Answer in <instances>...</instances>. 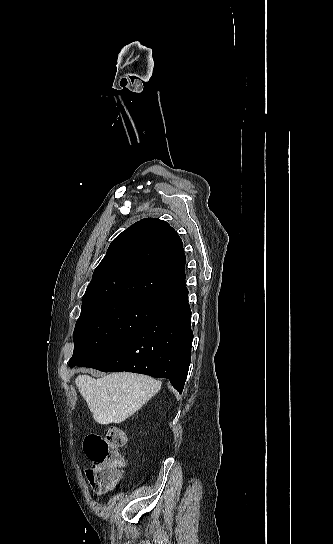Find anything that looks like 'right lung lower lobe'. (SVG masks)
<instances>
[{"label":"right lung lower lobe","mask_w":333,"mask_h":544,"mask_svg":"<svg viewBox=\"0 0 333 544\" xmlns=\"http://www.w3.org/2000/svg\"><path fill=\"white\" fill-rule=\"evenodd\" d=\"M192 340L187 294L169 302L131 337L77 366L167 378L181 393L191 361Z\"/></svg>","instance_id":"right-lung-lower-lobe-1"}]
</instances>
